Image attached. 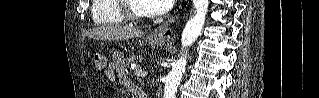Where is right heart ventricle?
<instances>
[{
    "mask_svg": "<svg viewBox=\"0 0 319 98\" xmlns=\"http://www.w3.org/2000/svg\"><path fill=\"white\" fill-rule=\"evenodd\" d=\"M91 15L97 25L121 24L125 21L119 10L118 0H94Z\"/></svg>",
    "mask_w": 319,
    "mask_h": 98,
    "instance_id": "right-heart-ventricle-1",
    "label": "right heart ventricle"
}]
</instances>
